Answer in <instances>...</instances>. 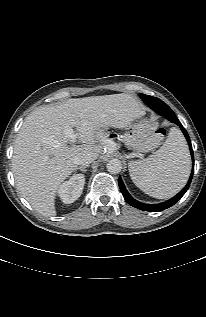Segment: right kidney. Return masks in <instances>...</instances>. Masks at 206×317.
<instances>
[{
	"label": "right kidney",
	"instance_id": "right-kidney-1",
	"mask_svg": "<svg viewBox=\"0 0 206 317\" xmlns=\"http://www.w3.org/2000/svg\"><path fill=\"white\" fill-rule=\"evenodd\" d=\"M84 184L83 174H74L68 181L62 183L58 189V195L62 202L70 204L76 201L82 194Z\"/></svg>",
	"mask_w": 206,
	"mask_h": 317
}]
</instances>
